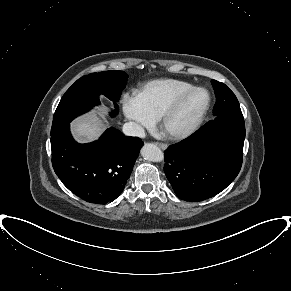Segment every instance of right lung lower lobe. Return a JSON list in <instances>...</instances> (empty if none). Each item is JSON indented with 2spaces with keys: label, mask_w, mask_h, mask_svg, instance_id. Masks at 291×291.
Returning <instances> with one entry per match:
<instances>
[{
  "label": "right lung lower lobe",
  "mask_w": 291,
  "mask_h": 291,
  "mask_svg": "<svg viewBox=\"0 0 291 291\" xmlns=\"http://www.w3.org/2000/svg\"><path fill=\"white\" fill-rule=\"evenodd\" d=\"M143 142L109 128L98 141L78 144L69 125L51 135L52 165L63 184L81 199L98 204L124 190Z\"/></svg>",
  "instance_id": "right-lung-lower-lobe-1"
}]
</instances>
